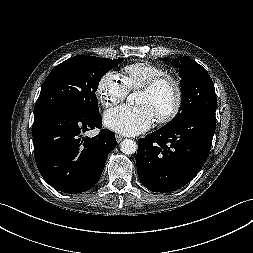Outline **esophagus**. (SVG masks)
Instances as JSON below:
<instances>
[{
	"mask_svg": "<svg viewBox=\"0 0 253 253\" xmlns=\"http://www.w3.org/2000/svg\"><path fill=\"white\" fill-rule=\"evenodd\" d=\"M116 141L119 143V142H121L122 140H123V137L122 136H120V135H118V134H116Z\"/></svg>",
	"mask_w": 253,
	"mask_h": 253,
	"instance_id": "34e87169",
	"label": "esophagus"
}]
</instances>
